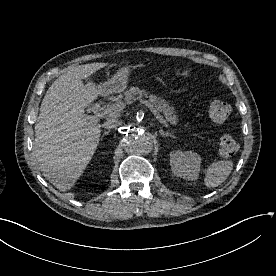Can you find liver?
Listing matches in <instances>:
<instances>
[{
    "instance_id": "1",
    "label": "liver",
    "mask_w": 276,
    "mask_h": 276,
    "mask_svg": "<svg viewBox=\"0 0 276 276\" xmlns=\"http://www.w3.org/2000/svg\"><path fill=\"white\" fill-rule=\"evenodd\" d=\"M91 63L71 68L48 88L35 124V156L43 176L60 191L72 188L99 143L100 127L85 107L101 94L83 79L107 66Z\"/></svg>"
}]
</instances>
